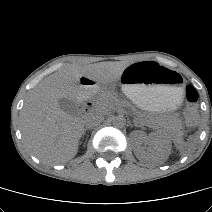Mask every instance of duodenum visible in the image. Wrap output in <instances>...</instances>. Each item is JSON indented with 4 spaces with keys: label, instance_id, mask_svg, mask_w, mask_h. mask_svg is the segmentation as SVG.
<instances>
[{
    "label": "duodenum",
    "instance_id": "1",
    "mask_svg": "<svg viewBox=\"0 0 212 212\" xmlns=\"http://www.w3.org/2000/svg\"><path fill=\"white\" fill-rule=\"evenodd\" d=\"M93 85L90 82L87 83H82V93L84 95V100H83V111L85 113H89L92 111L93 108V103L91 100L88 99L87 95L89 92L92 90Z\"/></svg>",
    "mask_w": 212,
    "mask_h": 212
}]
</instances>
